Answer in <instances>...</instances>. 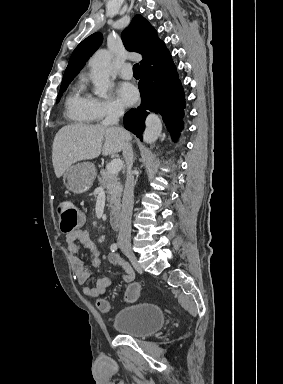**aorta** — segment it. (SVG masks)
Wrapping results in <instances>:
<instances>
[{
  "label": "aorta",
  "mask_w": 283,
  "mask_h": 384,
  "mask_svg": "<svg viewBox=\"0 0 283 384\" xmlns=\"http://www.w3.org/2000/svg\"><path fill=\"white\" fill-rule=\"evenodd\" d=\"M112 55L108 50H99L90 60L94 93L100 97H106L110 87V63ZM146 129L143 134L145 143H154L161 134L162 124L159 117L150 114L146 118Z\"/></svg>",
  "instance_id": "obj_1"
}]
</instances>
